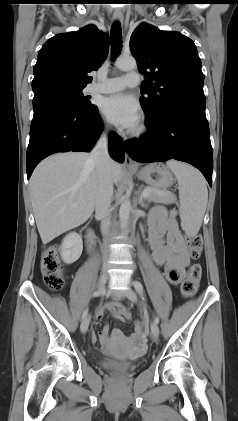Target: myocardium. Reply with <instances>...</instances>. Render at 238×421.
I'll return each instance as SVG.
<instances>
[{
    "label": "myocardium",
    "instance_id": "f54148a6",
    "mask_svg": "<svg viewBox=\"0 0 238 421\" xmlns=\"http://www.w3.org/2000/svg\"><path fill=\"white\" fill-rule=\"evenodd\" d=\"M146 131V128L144 125H140L138 128H136L134 131H132L131 135L133 137H140L142 136Z\"/></svg>",
    "mask_w": 238,
    "mask_h": 421
}]
</instances>
